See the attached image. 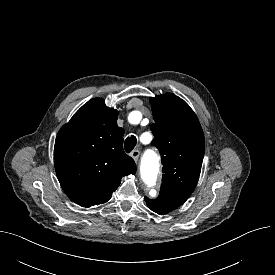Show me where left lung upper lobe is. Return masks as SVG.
I'll return each instance as SVG.
<instances>
[{"mask_svg":"<svg viewBox=\"0 0 275 275\" xmlns=\"http://www.w3.org/2000/svg\"><path fill=\"white\" fill-rule=\"evenodd\" d=\"M150 100L155 121L152 145L159 149L163 164L158 197L188 199L197 185L204 157L201 125L189 105L172 93Z\"/></svg>","mask_w":275,"mask_h":275,"instance_id":"left-lung-upper-lobe-1","label":"left lung upper lobe"}]
</instances>
